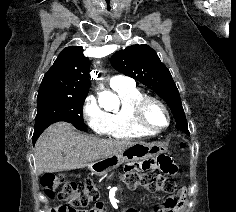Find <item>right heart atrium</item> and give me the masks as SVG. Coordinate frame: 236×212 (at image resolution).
Returning a JSON list of instances; mask_svg holds the SVG:
<instances>
[{
  "mask_svg": "<svg viewBox=\"0 0 236 212\" xmlns=\"http://www.w3.org/2000/svg\"><path fill=\"white\" fill-rule=\"evenodd\" d=\"M82 113L85 122L95 133L105 134L106 113L101 109L94 96L86 97Z\"/></svg>",
  "mask_w": 236,
  "mask_h": 212,
  "instance_id": "right-heart-atrium-1",
  "label": "right heart atrium"
}]
</instances>
